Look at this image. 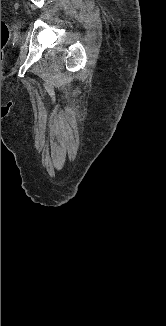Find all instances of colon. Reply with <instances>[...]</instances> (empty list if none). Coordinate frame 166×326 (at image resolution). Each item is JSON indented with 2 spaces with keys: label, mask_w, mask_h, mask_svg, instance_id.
I'll use <instances>...</instances> for the list:
<instances>
[{
  "label": "colon",
  "mask_w": 166,
  "mask_h": 326,
  "mask_svg": "<svg viewBox=\"0 0 166 326\" xmlns=\"http://www.w3.org/2000/svg\"><path fill=\"white\" fill-rule=\"evenodd\" d=\"M8 38H9L8 27L6 23L3 20H1V63L4 57L3 50L8 42Z\"/></svg>",
  "instance_id": "1"
}]
</instances>
